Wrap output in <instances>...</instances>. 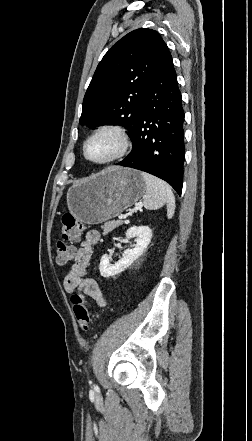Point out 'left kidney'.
Listing matches in <instances>:
<instances>
[{"label": "left kidney", "mask_w": 252, "mask_h": 441, "mask_svg": "<svg viewBox=\"0 0 252 441\" xmlns=\"http://www.w3.org/2000/svg\"><path fill=\"white\" fill-rule=\"evenodd\" d=\"M126 238H136V243L131 249H127L123 253V257L115 264L110 263V256L105 254L100 260V274L108 278L120 274L127 269L136 259H138L149 245L152 238V230L148 226H133L126 233Z\"/></svg>", "instance_id": "1"}]
</instances>
